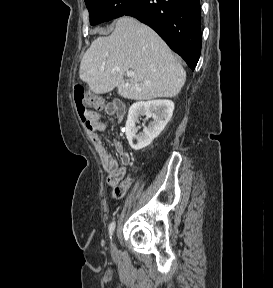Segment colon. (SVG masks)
Listing matches in <instances>:
<instances>
[{
  "label": "colon",
  "mask_w": 273,
  "mask_h": 288,
  "mask_svg": "<svg viewBox=\"0 0 273 288\" xmlns=\"http://www.w3.org/2000/svg\"><path fill=\"white\" fill-rule=\"evenodd\" d=\"M74 101L82 123L90 130L93 127L94 119L96 117V114L90 107L101 109L103 107V101L97 97L87 99L84 89L80 86H77L74 89Z\"/></svg>",
  "instance_id": "colon-1"
}]
</instances>
